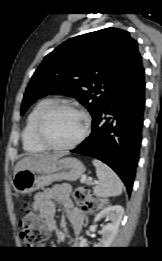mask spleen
I'll use <instances>...</instances> for the list:
<instances>
[{"label": "spleen", "mask_w": 162, "mask_h": 261, "mask_svg": "<svg viewBox=\"0 0 162 261\" xmlns=\"http://www.w3.org/2000/svg\"><path fill=\"white\" fill-rule=\"evenodd\" d=\"M98 182L94 187V194L101 198L118 196L122 193L123 183L118 175L103 162L94 159Z\"/></svg>", "instance_id": "spleen-1"}]
</instances>
